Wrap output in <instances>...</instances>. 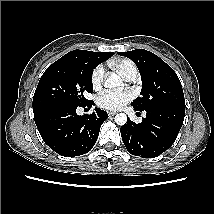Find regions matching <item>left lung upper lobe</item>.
<instances>
[{
    "mask_svg": "<svg viewBox=\"0 0 214 214\" xmlns=\"http://www.w3.org/2000/svg\"><path fill=\"white\" fill-rule=\"evenodd\" d=\"M118 54L130 58L141 75V97L131 103L135 110L143 111L158 106L185 108L184 93L179 78L161 58L144 49L118 52Z\"/></svg>",
    "mask_w": 214,
    "mask_h": 214,
    "instance_id": "obj_1",
    "label": "left lung upper lobe"
}]
</instances>
